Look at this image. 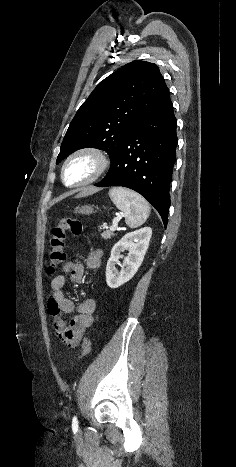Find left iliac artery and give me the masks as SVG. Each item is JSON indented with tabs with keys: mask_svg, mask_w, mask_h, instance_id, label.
Masks as SVG:
<instances>
[{
	"mask_svg": "<svg viewBox=\"0 0 236 467\" xmlns=\"http://www.w3.org/2000/svg\"><path fill=\"white\" fill-rule=\"evenodd\" d=\"M72 427L77 428L78 427V420L77 417L74 416L72 419Z\"/></svg>",
	"mask_w": 236,
	"mask_h": 467,
	"instance_id": "1",
	"label": "left iliac artery"
}]
</instances>
